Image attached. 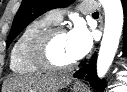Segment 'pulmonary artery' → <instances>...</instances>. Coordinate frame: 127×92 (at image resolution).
<instances>
[{
    "instance_id": "pulmonary-artery-1",
    "label": "pulmonary artery",
    "mask_w": 127,
    "mask_h": 92,
    "mask_svg": "<svg viewBox=\"0 0 127 92\" xmlns=\"http://www.w3.org/2000/svg\"><path fill=\"white\" fill-rule=\"evenodd\" d=\"M98 9L99 6L95 2L83 3L79 8L80 12L83 14H90L97 11ZM48 17L54 22H59L62 20L63 11L59 9L53 10L48 14Z\"/></svg>"
}]
</instances>
